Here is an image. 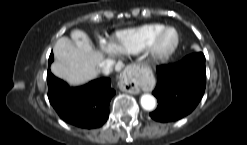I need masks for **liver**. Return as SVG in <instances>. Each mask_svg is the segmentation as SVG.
<instances>
[{
    "label": "liver",
    "instance_id": "obj_1",
    "mask_svg": "<svg viewBox=\"0 0 247 145\" xmlns=\"http://www.w3.org/2000/svg\"><path fill=\"white\" fill-rule=\"evenodd\" d=\"M71 38L61 37L55 43L51 71L68 85L80 86L96 78V68L104 61V55L93 49L83 31L74 30Z\"/></svg>",
    "mask_w": 247,
    "mask_h": 145
}]
</instances>
